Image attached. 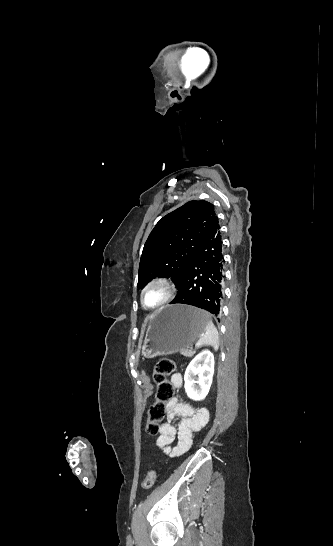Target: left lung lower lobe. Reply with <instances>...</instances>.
Instances as JSON below:
<instances>
[{"label":"left lung lower lobe","instance_id":"1","mask_svg":"<svg viewBox=\"0 0 333 546\" xmlns=\"http://www.w3.org/2000/svg\"><path fill=\"white\" fill-rule=\"evenodd\" d=\"M223 263L221 232L216 218L198 244L194 260L177 286V296L171 303L192 305L218 317L223 299Z\"/></svg>","mask_w":333,"mask_h":546}]
</instances>
